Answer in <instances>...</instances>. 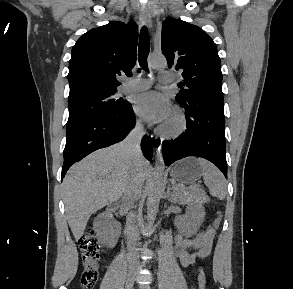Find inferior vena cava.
I'll return each instance as SVG.
<instances>
[{"mask_svg":"<svg viewBox=\"0 0 293 289\" xmlns=\"http://www.w3.org/2000/svg\"><path fill=\"white\" fill-rule=\"evenodd\" d=\"M144 134L143 125L138 122L135 128L128 134L125 140L122 142L125 147L126 152L133 158L134 160V169L126 183L124 193H123V204L126 207H131L135 200L141 194L142 181L141 177L138 173V167L142 160V152L140 148V142ZM127 230L129 234L128 240V254L129 261L131 263L137 262L136 255V245L138 239V231L134 225V214L130 212L127 216Z\"/></svg>","mask_w":293,"mask_h":289,"instance_id":"inferior-vena-cava-1","label":"inferior vena cava"}]
</instances>
